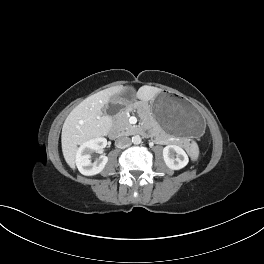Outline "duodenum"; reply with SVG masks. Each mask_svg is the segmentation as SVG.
<instances>
[{
  "mask_svg": "<svg viewBox=\"0 0 264 264\" xmlns=\"http://www.w3.org/2000/svg\"><path fill=\"white\" fill-rule=\"evenodd\" d=\"M109 135H110V137L115 138V137L119 136V131L116 128H111L109 130Z\"/></svg>",
  "mask_w": 264,
  "mask_h": 264,
  "instance_id": "1",
  "label": "duodenum"
}]
</instances>
